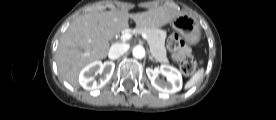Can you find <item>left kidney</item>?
I'll return each instance as SVG.
<instances>
[{
	"mask_svg": "<svg viewBox=\"0 0 276 120\" xmlns=\"http://www.w3.org/2000/svg\"><path fill=\"white\" fill-rule=\"evenodd\" d=\"M146 73L151 81L152 86L160 92L172 94L182 88L181 73L170 65H161L160 68H147ZM159 73L167 78V82L158 78Z\"/></svg>",
	"mask_w": 276,
	"mask_h": 120,
	"instance_id": "1",
	"label": "left kidney"
}]
</instances>
